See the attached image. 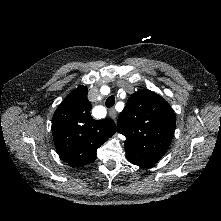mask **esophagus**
Segmentation results:
<instances>
[{
	"mask_svg": "<svg viewBox=\"0 0 221 221\" xmlns=\"http://www.w3.org/2000/svg\"><path fill=\"white\" fill-rule=\"evenodd\" d=\"M109 116L113 119V120H117V112L115 111L114 108H111L109 110Z\"/></svg>",
	"mask_w": 221,
	"mask_h": 221,
	"instance_id": "obj_1",
	"label": "esophagus"
}]
</instances>
